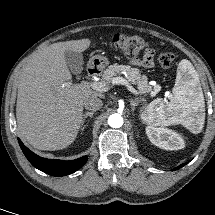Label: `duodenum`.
Returning <instances> with one entry per match:
<instances>
[{
  "label": "duodenum",
  "mask_w": 215,
  "mask_h": 215,
  "mask_svg": "<svg viewBox=\"0 0 215 215\" xmlns=\"http://www.w3.org/2000/svg\"><path fill=\"white\" fill-rule=\"evenodd\" d=\"M87 73H88V75L89 76H96L98 73H99V71H98V69L96 68V67H94V66H90L88 69H87Z\"/></svg>",
  "instance_id": "obj_1"
}]
</instances>
